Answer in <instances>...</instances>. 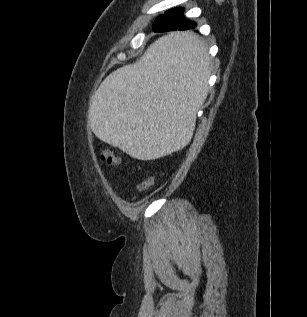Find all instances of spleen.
Wrapping results in <instances>:
<instances>
[{
  "instance_id": "3e777b00",
  "label": "spleen",
  "mask_w": 307,
  "mask_h": 317,
  "mask_svg": "<svg viewBox=\"0 0 307 317\" xmlns=\"http://www.w3.org/2000/svg\"><path fill=\"white\" fill-rule=\"evenodd\" d=\"M143 59L110 74L93 97L91 127L135 160L177 155L207 96L208 43L193 29H170Z\"/></svg>"
}]
</instances>
